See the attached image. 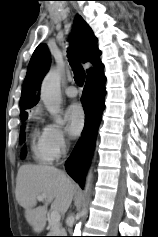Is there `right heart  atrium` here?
Returning <instances> with one entry per match:
<instances>
[{"instance_id":"d8ad5b80","label":"right heart atrium","mask_w":158,"mask_h":237,"mask_svg":"<svg viewBox=\"0 0 158 237\" xmlns=\"http://www.w3.org/2000/svg\"><path fill=\"white\" fill-rule=\"evenodd\" d=\"M45 146L53 158H59L68 146V139L64 130L54 124L50 123L43 129Z\"/></svg>"}]
</instances>
